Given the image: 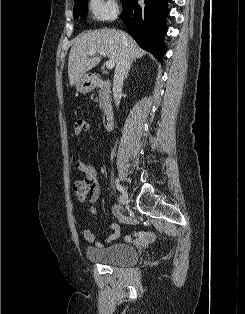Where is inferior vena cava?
<instances>
[{"label": "inferior vena cava", "instance_id": "obj_1", "mask_svg": "<svg viewBox=\"0 0 245 314\" xmlns=\"http://www.w3.org/2000/svg\"><path fill=\"white\" fill-rule=\"evenodd\" d=\"M130 64V56L128 50L125 49L120 57V60L116 64L114 79H113V95L115 99V104L118 106L120 102V97L122 94V86L125 73Z\"/></svg>", "mask_w": 245, "mask_h": 314}]
</instances>
